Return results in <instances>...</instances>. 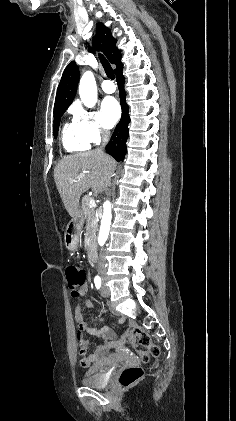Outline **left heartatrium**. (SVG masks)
<instances>
[{
  "label": "left heart atrium",
  "mask_w": 236,
  "mask_h": 421,
  "mask_svg": "<svg viewBox=\"0 0 236 421\" xmlns=\"http://www.w3.org/2000/svg\"><path fill=\"white\" fill-rule=\"evenodd\" d=\"M101 111L103 121L107 127L114 126L121 116V109L118 101L114 97H106L102 101Z\"/></svg>",
  "instance_id": "39dd6f15"
}]
</instances>
